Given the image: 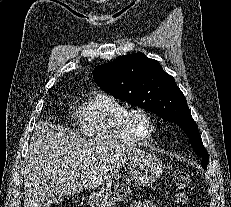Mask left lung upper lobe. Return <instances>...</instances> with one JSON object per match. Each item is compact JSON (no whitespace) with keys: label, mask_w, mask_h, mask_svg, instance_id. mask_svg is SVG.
<instances>
[{"label":"left lung upper lobe","mask_w":231,"mask_h":207,"mask_svg":"<svg viewBox=\"0 0 231 207\" xmlns=\"http://www.w3.org/2000/svg\"><path fill=\"white\" fill-rule=\"evenodd\" d=\"M95 82L114 97L149 109L166 121L176 123L189 137L206 169L209 155L182 91L160 63L143 53L121 56L93 71Z\"/></svg>","instance_id":"5c2ea615"}]
</instances>
